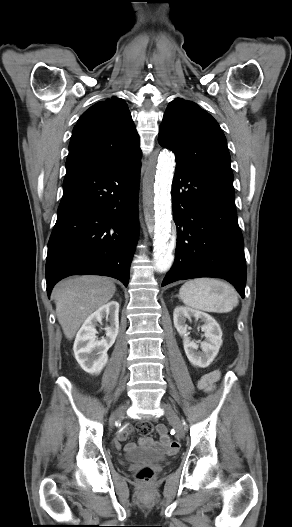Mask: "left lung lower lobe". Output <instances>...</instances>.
Wrapping results in <instances>:
<instances>
[{
    "mask_svg": "<svg viewBox=\"0 0 292 527\" xmlns=\"http://www.w3.org/2000/svg\"><path fill=\"white\" fill-rule=\"evenodd\" d=\"M172 203L177 246L162 286L180 279L223 278L244 298L246 264L233 178L177 165Z\"/></svg>",
    "mask_w": 292,
    "mask_h": 527,
    "instance_id": "left-lung-lower-lobe-1",
    "label": "left lung lower lobe"
}]
</instances>
